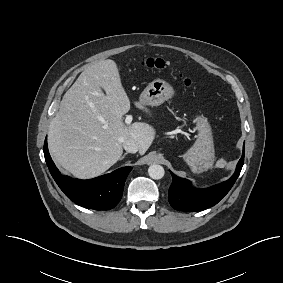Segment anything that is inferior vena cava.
<instances>
[{"instance_id": "602c4592", "label": "inferior vena cava", "mask_w": 283, "mask_h": 283, "mask_svg": "<svg viewBox=\"0 0 283 283\" xmlns=\"http://www.w3.org/2000/svg\"><path fill=\"white\" fill-rule=\"evenodd\" d=\"M123 148L129 153H136L139 149L138 144L133 139H124Z\"/></svg>"}]
</instances>
